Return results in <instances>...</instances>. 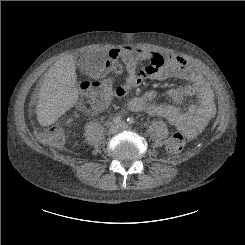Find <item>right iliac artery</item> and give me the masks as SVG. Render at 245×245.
Returning a JSON list of instances; mask_svg holds the SVG:
<instances>
[{
    "instance_id": "1",
    "label": "right iliac artery",
    "mask_w": 245,
    "mask_h": 245,
    "mask_svg": "<svg viewBox=\"0 0 245 245\" xmlns=\"http://www.w3.org/2000/svg\"><path fill=\"white\" fill-rule=\"evenodd\" d=\"M122 122V119H121V117H119V116H117V117H115L114 119H113V123L114 124H120Z\"/></svg>"
}]
</instances>
